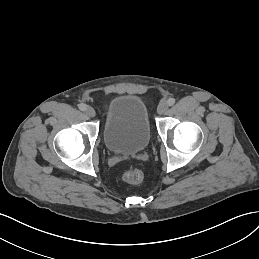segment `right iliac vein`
Returning <instances> with one entry per match:
<instances>
[{
    "label": "right iliac vein",
    "mask_w": 259,
    "mask_h": 259,
    "mask_svg": "<svg viewBox=\"0 0 259 259\" xmlns=\"http://www.w3.org/2000/svg\"><path fill=\"white\" fill-rule=\"evenodd\" d=\"M85 113H86V115L89 116V117H94L95 114H96V113H95V110H94L92 107H90V106H88V107L86 108Z\"/></svg>",
    "instance_id": "1"
}]
</instances>
